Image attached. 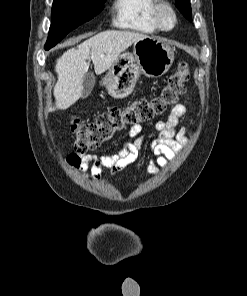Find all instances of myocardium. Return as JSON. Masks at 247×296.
<instances>
[{
    "label": "myocardium",
    "instance_id": "myocardium-1",
    "mask_svg": "<svg viewBox=\"0 0 247 296\" xmlns=\"http://www.w3.org/2000/svg\"><path fill=\"white\" fill-rule=\"evenodd\" d=\"M155 22L160 30L170 31L177 25V15L173 6L165 1H158L154 8Z\"/></svg>",
    "mask_w": 247,
    "mask_h": 296
}]
</instances>
